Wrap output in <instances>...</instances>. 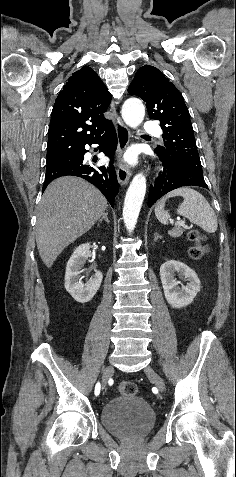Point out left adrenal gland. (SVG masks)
Segmentation results:
<instances>
[{
    "instance_id": "a2214340",
    "label": "left adrenal gland",
    "mask_w": 236,
    "mask_h": 477,
    "mask_svg": "<svg viewBox=\"0 0 236 477\" xmlns=\"http://www.w3.org/2000/svg\"><path fill=\"white\" fill-rule=\"evenodd\" d=\"M161 238L162 237L158 233H155L154 241H157L158 239H161Z\"/></svg>"
}]
</instances>
